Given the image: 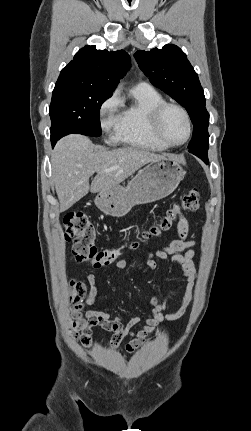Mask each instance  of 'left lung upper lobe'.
I'll list each match as a JSON object with an SVG mask.
<instances>
[{
  "label": "left lung upper lobe",
  "mask_w": 251,
  "mask_h": 431,
  "mask_svg": "<svg viewBox=\"0 0 251 431\" xmlns=\"http://www.w3.org/2000/svg\"><path fill=\"white\" fill-rule=\"evenodd\" d=\"M134 56L150 82L185 107L194 125L189 152L207 163L209 113L198 75L186 54L167 44L162 49L138 50Z\"/></svg>",
  "instance_id": "obj_1"
}]
</instances>
